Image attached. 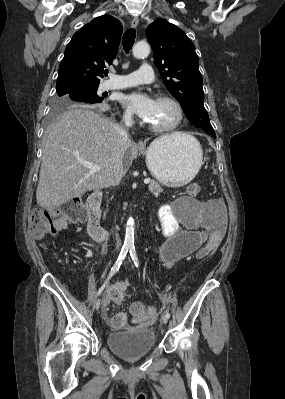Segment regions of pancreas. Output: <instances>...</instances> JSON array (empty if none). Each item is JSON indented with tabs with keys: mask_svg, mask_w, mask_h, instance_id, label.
<instances>
[{
	"mask_svg": "<svg viewBox=\"0 0 285 399\" xmlns=\"http://www.w3.org/2000/svg\"><path fill=\"white\" fill-rule=\"evenodd\" d=\"M149 191L152 192L155 197H158L163 189L157 182L151 181L149 185Z\"/></svg>",
	"mask_w": 285,
	"mask_h": 399,
	"instance_id": "1",
	"label": "pancreas"
}]
</instances>
